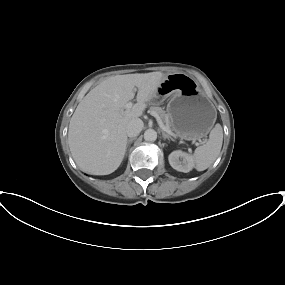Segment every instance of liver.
I'll use <instances>...</instances> for the list:
<instances>
[{"label":"liver","mask_w":285,"mask_h":285,"mask_svg":"<svg viewBox=\"0 0 285 285\" xmlns=\"http://www.w3.org/2000/svg\"><path fill=\"white\" fill-rule=\"evenodd\" d=\"M164 78L159 71L116 75L89 91L71 117L68 131L72 157L82 171L108 175L120 166L127 145L126 126L142 116ZM135 87L137 103L124 110L135 96Z\"/></svg>","instance_id":"1"}]
</instances>
